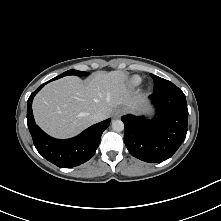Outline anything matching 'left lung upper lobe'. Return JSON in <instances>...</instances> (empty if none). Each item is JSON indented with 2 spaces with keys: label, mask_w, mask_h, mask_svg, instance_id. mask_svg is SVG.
Wrapping results in <instances>:
<instances>
[{
  "label": "left lung upper lobe",
  "mask_w": 221,
  "mask_h": 221,
  "mask_svg": "<svg viewBox=\"0 0 221 221\" xmlns=\"http://www.w3.org/2000/svg\"><path fill=\"white\" fill-rule=\"evenodd\" d=\"M150 75L154 81V88H153L154 92L178 88L177 86H175L172 82L168 80H165L153 74H150Z\"/></svg>",
  "instance_id": "left-lung-upper-lobe-1"
}]
</instances>
